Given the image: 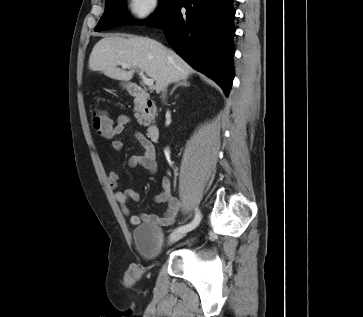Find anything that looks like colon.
Listing matches in <instances>:
<instances>
[{"mask_svg": "<svg viewBox=\"0 0 363 317\" xmlns=\"http://www.w3.org/2000/svg\"><path fill=\"white\" fill-rule=\"evenodd\" d=\"M92 126L96 132L102 133L110 129L111 121L103 112L93 111Z\"/></svg>", "mask_w": 363, "mask_h": 317, "instance_id": "obj_1", "label": "colon"}]
</instances>
